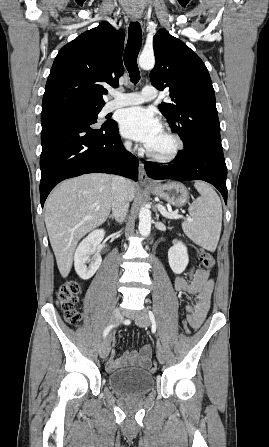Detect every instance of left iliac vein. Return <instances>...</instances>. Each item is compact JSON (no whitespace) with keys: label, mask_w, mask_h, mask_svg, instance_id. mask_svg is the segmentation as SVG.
Instances as JSON below:
<instances>
[{"label":"left iliac vein","mask_w":269,"mask_h":447,"mask_svg":"<svg viewBox=\"0 0 269 447\" xmlns=\"http://www.w3.org/2000/svg\"><path fill=\"white\" fill-rule=\"evenodd\" d=\"M135 323L137 326L139 327H146L149 326L151 324V320H150V316L148 314H141L139 316L135 317ZM157 359L158 361L163 364L166 361V356H165V352L163 349V346L161 343H159L158 345V350H157Z\"/></svg>","instance_id":"4c4485c4"}]
</instances>
